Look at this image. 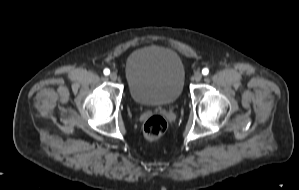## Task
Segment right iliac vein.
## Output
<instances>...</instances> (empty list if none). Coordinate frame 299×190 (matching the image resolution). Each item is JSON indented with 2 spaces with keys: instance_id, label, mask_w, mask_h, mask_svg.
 <instances>
[{
  "instance_id": "right-iliac-vein-1",
  "label": "right iliac vein",
  "mask_w": 299,
  "mask_h": 190,
  "mask_svg": "<svg viewBox=\"0 0 299 190\" xmlns=\"http://www.w3.org/2000/svg\"><path fill=\"white\" fill-rule=\"evenodd\" d=\"M117 73H115V72H112L111 74H110V79L112 80V81H116L117 80Z\"/></svg>"
}]
</instances>
